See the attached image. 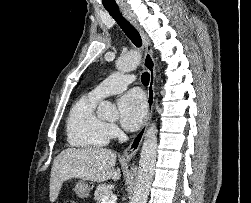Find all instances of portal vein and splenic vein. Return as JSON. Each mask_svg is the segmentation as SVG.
Returning <instances> with one entry per match:
<instances>
[{"instance_id":"18ae733b","label":"portal vein and splenic vein","mask_w":251,"mask_h":203,"mask_svg":"<svg viewBox=\"0 0 251 203\" xmlns=\"http://www.w3.org/2000/svg\"><path fill=\"white\" fill-rule=\"evenodd\" d=\"M117 196L112 194V195H107L103 197L102 203H116Z\"/></svg>"}]
</instances>
